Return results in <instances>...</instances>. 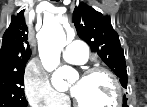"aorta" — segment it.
Returning <instances> with one entry per match:
<instances>
[{"label": "aorta", "mask_w": 147, "mask_h": 107, "mask_svg": "<svg viewBox=\"0 0 147 107\" xmlns=\"http://www.w3.org/2000/svg\"><path fill=\"white\" fill-rule=\"evenodd\" d=\"M66 34L56 21H46L38 34L39 56L47 71H54L53 86L60 90L67 87V81L75 78L77 72L70 66L59 67L60 54L66 45Z\"/></svg>", "instance_id": "762f6f07"}]
</instances>
